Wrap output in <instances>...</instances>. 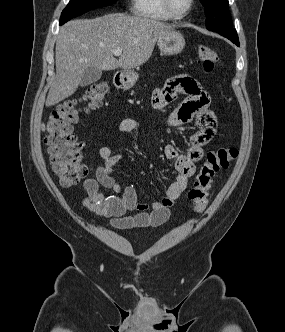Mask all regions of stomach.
<instances>
[{
	"label": "stomach",
	"mask_w": 285,
	"mask_h": 332,
	"mask_svg": "<svg viewBox=\"0 0 285 332\" xmlns=\"http://www.w3.org/2000/svg\"><path fill=\"white\" fill-rule=\"evenodd\" d=\"M158 47L162 54L176 55L185 47V39L182 34L172 31L169 34L159 38ZM139 74L134 70H125L120 74V84L124 89H130L135 85Z\"/></svg>",
	"instance_id": "obj_1"
}]
</instances>
